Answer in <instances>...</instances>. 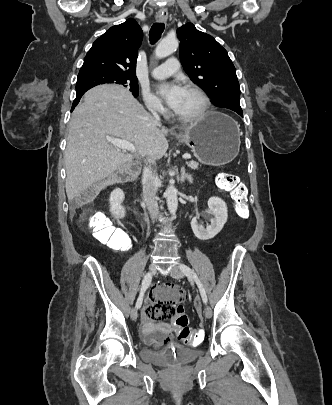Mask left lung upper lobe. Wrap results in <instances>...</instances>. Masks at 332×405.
Masks as SVG:
<instances>
[{
	"instance_id": "5c2ea615",
	"label": "left lung upper lobe",
	"mask_w": 332,
	"mask_h": 405,
	"mask_svg": "<svg viewBox=\"0 0 332 405\" xmlns=\"http://www.w3.org/2000/svg\"><path fill=\"white\" fill-rule=\"evenodd\" d=\"M180 60L191 80L197 83L217 107L235 111L240 107V87L227 51L210 35L191 23L177 29Z\"/></svg>"
}]
</instances>
